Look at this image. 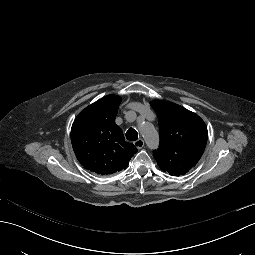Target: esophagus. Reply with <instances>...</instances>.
I'll list each match as a JSON object with an SVG mask.
<instances>
[{"label": "esophagus", "mask_w": 255, "mask_h": 255, "mask_svg": "<svg viewBox=\"0 0 255 255\" xmlns=\"http://www.w3.org/2000/svg\"><path fill=\"white\" fill-rule=\"evenodd\" d=\"M134 145L137 149H141L144 146V140L138 139V140L134 141Z\"/></svg>", "instance_id": "esophagus-1"}]
</instances>
